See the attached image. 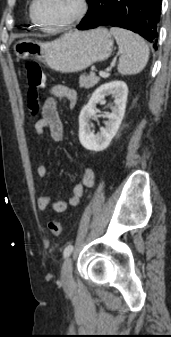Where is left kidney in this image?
<instances>
[{"instance_id": "obj_1", "label": "left kidney", "mask_w": 171, "mask_h": 337, "mask_svg": "<svg viewBox=\"0 0 171 337\" xmlns=\"http://www.w3.org/2000/svg\"><path fill=\"white\" fill-rule=\"evenodd\" d=\"M128 87L123 81H112L101 85L92 94L89 102L79 115V140L81 145L87 150L103 151L116 135L121 121L125 114ZM106 96L114 98V106L111 113H106L104 117L108 119L105 128L101 127L100 132L94 134L90 119L96 118V104L103 101Z\"/></svg>"}]
</instances>
